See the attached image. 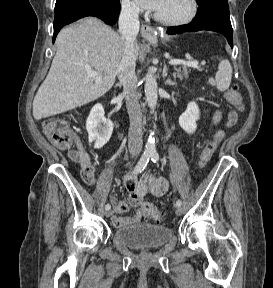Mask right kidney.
Returning <instances> with one entry per match:
<instances>
[{"label": "right kidney", "instance_id": "right-kidney-1", "mask_svg": "<svg viewBox=\"0 0 273 288\" xmlns=\"http://www.w3.org/2000/svg\"><path fill=\"white\" fill-rule=\"evenodd\" d=\"M113 123L104 116V108L96 104L86 120V129L89 142H94V148H102L110 139L113 132Z\"/></svg>", "mask_w": 273, "mask_h": 288}]
</instances>
